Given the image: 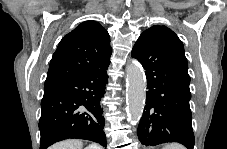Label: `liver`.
Here are the masks:
<instances>
[{
    "label": "liver",
    "mask_w": 227,
    "mask_h": 149,
    "mask_svg": "<svg viewBox=\"0 0 227 149\" xmlns=\"http://www.w3.org/2000/svg\"><path fill=\"white\" fill-rule=\"evenodd\" d=\"M83 143L80 140L70 139L61 141L51 146L50 149H82ZM97 149H101V146L96 145Z\"/></svg>",
    "instance_id": "6515ba94"
}]
</instances>
